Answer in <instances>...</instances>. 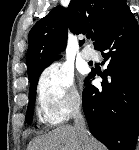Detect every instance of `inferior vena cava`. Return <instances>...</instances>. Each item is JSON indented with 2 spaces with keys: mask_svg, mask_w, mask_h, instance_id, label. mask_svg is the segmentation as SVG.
<instances>
[{
  "mask_svg": "<svg viewBox=\"0 0 139 150\" xmlns=\"http://www.w3.org/2000/svg\"><path fill=\"white\" fill-rule=\"evenodd\" d=\"M74 127L80 139L84 140L87 134L85 120L80 112L79 105L75 110Z\"/></svg>",
  "mask_w": 139,
  "mask_h": 150,
  "instance_id": "inferior-vena-cava-1",
  "label": "inferior vena cava"
}]
</instances>
